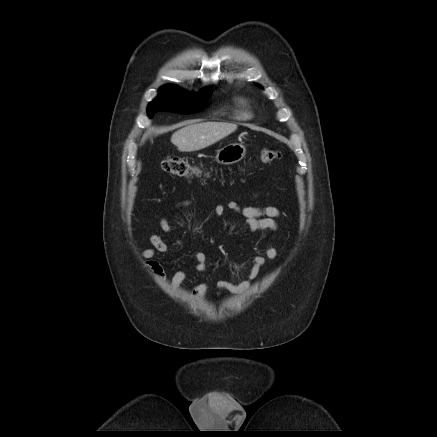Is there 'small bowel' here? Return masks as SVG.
Returning a JSON list of instances; mask_svg holds the SVG:
<instances>
[{
  "mask_svg": "<svg viewBox=\"0 0 437 437\" xmlns=\"http://www.w3.org/2000/svg\"><path fill=\"white\" fill-rule=\"evenodd\" d=\"M195 203L193 200L181 202L179 207H188ZM226 210L233 211L244 218L246 225L251 232L261 231H276L278 229L277 219L281 213L277 207H255V206H239L234 201H229L225 205H216L213 212L216 216H222ZM161 230L165 233L172 231V226L167 217H162L159 221ZM149 241L152 248L142 251L141 255L145 259L146 266L153 272L157 280L166 282L167 276L159 257L162 254L170 252V247L156 233H151ZM278 255L277 249L271 245H266L263 253L255 255L251 258V267L247 278L239 283H234L226 279H220L217 286L221 290L229 291L234 294H239L250 288L252 282L257 278L260 270L265 266L267 261L274 260ZM196 268L199 272L204 273L207 269V257L204 253L198 252L195 254ZM187 274L183 271H177L170 279L171 287L178 288L186 279ZM208 284L203 282L197 285L193 290V295L196 298H201L205 295Z\"/></svg>",
  "mask_w": 437,
  "mask_h": 437,
  "instance_id": "small-bowel-1",
  "label": "small bowel"
}]
</instances>
